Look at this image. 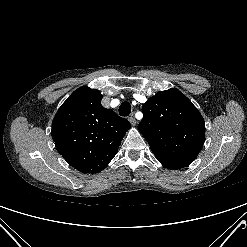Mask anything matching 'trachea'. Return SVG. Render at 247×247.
Returning <instances> with one entry per match:
<instances>
[{
    "label": "trachea",
    "instance_id": "3493384b",
    "mask_svg": "<svg viewBox=\"0 0 247 247\" xmlns=\"http://www.w3.org/2000/svg\"><path fill=\"white\" fill-rule=\"evenodd\" d=\"M130 112H131V105H130V103H128V102H123V103L120 105V107H119V114H120L121 116L126 117V116H129Z\"/></svg>",
    "mask_w": 247,
    "mask_h": 247
}]
</instances>
